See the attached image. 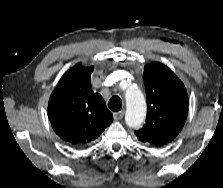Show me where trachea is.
I'll return each instance as SVG.
<instances>
[{"instance_id": "trachea-1", "label": "trachea", "mask_w": 223, "mask_h": 188, "mask_svg": "<svg viewBox=\"0 0 223 188\" xmlns=\"http://www.w3.org/2000/svg\"><path fill=\"white\" fill-rule=\"evenodd\" d=\"M108 107L112 111H120L122 109V100L119 96H113L109 102Z\"/></svg>"}]
</instances>
